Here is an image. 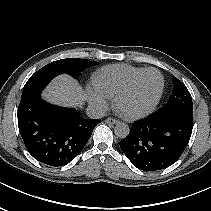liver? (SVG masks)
<instances>
[{"label": "liver", "mask_w": 211, "mask_h": 211, "mask_svg": "<svg viewBox=\"0 0 211 211\" xmlns=\"http://www.w3.org/2000/svg\"><path fill=\"white\" fill-rule=\"evenodd\" d=\"M43 96L59 105L73 107L81 106L85 98L82 88L66 75L54 79L44 91Z\"/></svg>", "instance_id": "6515ba94"}]
</instances>
